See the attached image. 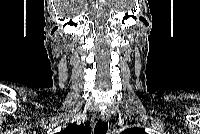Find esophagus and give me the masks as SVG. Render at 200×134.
I'll use <instances>...</instances> for the list:
<instances>
[{"label":"esophagus","mask_w":200,"mask_h":134,"mask_svg":"<svg viewBox=\"0 0 200 134\" xmlns=\"http://www.w3.org/2000/svg\"><path fill=\"white\" fill-rule=\"evenodd\" d=\"M100 119L104 122L110 119V112L108 110H103L100 113Z\"/></svg>","instance_id":"1"}]
</instances>
